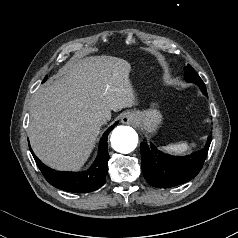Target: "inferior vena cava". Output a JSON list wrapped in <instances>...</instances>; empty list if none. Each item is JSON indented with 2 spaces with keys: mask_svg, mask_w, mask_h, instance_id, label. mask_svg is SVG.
I'll list each match as a JSON object with an SVG mask.
<instances>
[{
  "mask_svg": "<svg viewBox=\"0 0 238 238\" xmlns=\"http://www.w3.org/2000/svg\"><path fill=\"white\" fill-rule=\"evenodd\" d=\"M106 122H107V120H106L105 118H99V119L97 120V123H98L99 125L105 124Z\"/></svg>",
  "mask_w": 238,
  "mask_h": 238,
  "instance_id": "inferior-vena-cava-1",
  "label": "inferior vena cava"
}]
</instances>
